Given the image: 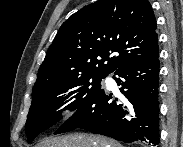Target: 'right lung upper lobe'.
<instances>
[{
    "mask_svg": "<svg viewBox=\"0 0 183 147\" xmlns=\"http://www.w3.org/2000/svg\"><path fill=\"white\" fill-rule=\"evenodd\" d=\"M156 28L148 0H98L80 9L60 27L33 90L82 76H107L130 62L155 58Z\"/></svg>",
    "mask_w": 183,
    "mask_h": 147,
    "instance_id": "1",
    "label": "right lung upper lobe"
}]
</instances>
